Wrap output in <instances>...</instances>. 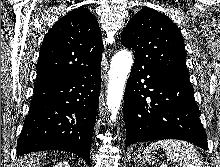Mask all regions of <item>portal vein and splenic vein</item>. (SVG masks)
Instances as JSON below:
<instances>
[{"mask_svg": "<svg viewBox=\"0 0 220 167\" xmlns=\"http://www.w3.org/2000/svg\"><path fill=\"white\" fill-rule=\"evenodd\" d=\"M161 167H167V165H161Z\"/></svg>", "mask_w": 220, "mask_h": 167, "instance_id": "18ae733b", "label": "portal vein and splenic vein"}]
</instances>
